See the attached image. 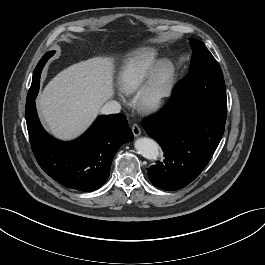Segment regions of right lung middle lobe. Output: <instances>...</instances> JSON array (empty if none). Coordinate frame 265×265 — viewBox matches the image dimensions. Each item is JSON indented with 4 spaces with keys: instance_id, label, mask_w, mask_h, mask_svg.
<instances>
[{
    "instance_id": "1",
    "label": "right lung middle lobe",
    "mask_w": 265,
    "mask_h": 265,
    "mask_svg": "<svg viewBox=\"0 0 265 265\" xmlns=\"http://www.w3.org/2000/svg\"><path fill=\"white\" fill-rule=\"evenodd\" d=\"M54 54V51L46 53L41 60L39 61L34 73H33V80L30 87V90L27 95V101L34 100L37 96L38 90H39V84H40V75L42 68L46 61Z\"/></svg>"
}]
</instances>
